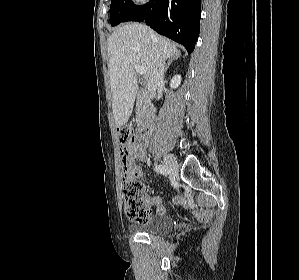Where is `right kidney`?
Segmentation results:
<instances>
[{
  "label": "right kidney",
  "mask_w": 299,
  "mask_h": 280,
  "mask_svg": "<svg viewBox=\"0 0 299 280\" xmlns=\"http://www.w3.org/2000/svg\"><path fill=\"white\" fill-rule=\"evenodd\" d=\"M181 83V76L180 75H175L170 82V86L173 89H176Z\"/></svg>",
  "instance_id": "obj_1"
}]
</instances>
